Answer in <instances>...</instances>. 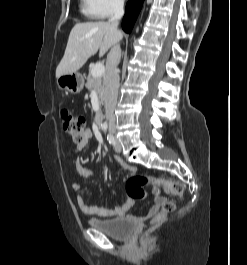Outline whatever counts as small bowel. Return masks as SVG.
<instances>
[{
	"label": "small bowel",
	"mask_w": 247,
	"mask_h": 265,
	"mask_svg": "<svg viewBox=\"0 0 247 265\" xmlns=\"http://www.w3.org/2000/svg\"><path fill=\"white\" fill-rule=\"evenodd\" d=\"M92 137L93 134L91 130L87 129L83 141L80 142L77 146L78 150L79 151L83 150L86 147V145L89 143V141L92 139ZM117 161L127 171L131 173H134L136 171L135 167L125 164L121 159H117ZM76 171L78 175L83 179L90 178L93 175V171L90 168L80 164L79 162L76 163ZM73 188L78 192L77 204L79 208L84 214L87 215H96L100 217H113V216L123 217L128 215L134 204V201L132 199H127L121 206L117 208H106L102 206L91 205L86 202L84 196L81 193L82 185L80 182L75 183L73 185ZM165 201H166L165 197L160 195L159 192H155L154 204L149 208V210L147 211V213L143 218H149L155 215Z\"/></svg>",
	"instance_id": "1"
}]
</instances>
